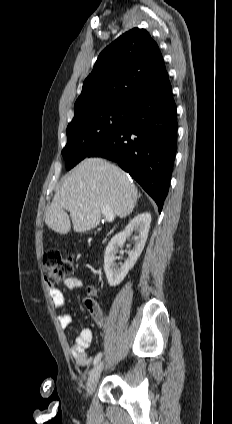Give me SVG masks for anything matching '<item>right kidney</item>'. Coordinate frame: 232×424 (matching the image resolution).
<instances>
[{
	"mask_svg": "<svg viewBox=\"0 0 232 424\" xmlns=\"http://www.w3.org/2000/svg\"><path fill=\"white\" fill-rule=\"evenodd\" d=\"M150 223V213L144 212L138 214L130 221L124 231L116 234L108 243L104 254V271L110 286L115 287L119 285L124 280L129 270H131L135 265L144 249ZM133 231L138 233L135 237V246L132 251L128 252L127 260H125L121 267L118 268L115 264V255L118 251V247L123 246L126 238L129 237Z\"/></svg>",
	"mask_w": 232,
	"mask_h": 424,
	"instance_id": "ca27d5eb",
	"label": "right kidney"
}]
</instances>
